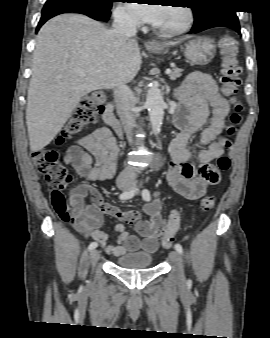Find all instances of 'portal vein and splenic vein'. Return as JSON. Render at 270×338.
<instances>
[{"label": "portal vein and splenic vein", "mask_w": 270, "mask_h": 338, "mask_svg": "<svg viewBox=\"0 0 270 338\" xmlns=\"http://www.w3.org/2000/svg\"><path fill=\"white\" fill-rule=\"evenodd\" d=\"M77 73H78V75L81 76V77H84V76L86 75L85 71H84V70H81V69L78 70ZM165 73H166V74H170V73H171V69H169V68L166 69Z\"/></svg>", "instance_id": "18ae733b"}]
</instances>
